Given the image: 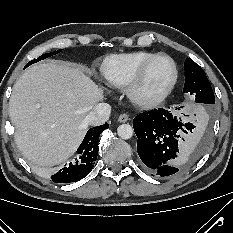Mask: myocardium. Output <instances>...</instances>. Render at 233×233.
<instances>
[{
	"mask_svg": "<svg viewBox=\"0 0 233 233\" xmlns=\"http://www.w3.org/2000/svg\"><path fill=\"white\" fill-rule=\"evenodd\" d=\"M162 58H166L171 62L173 69L172 77L164 86V88L160 90L158 93L150 96H145L141 93V86L146 76V73L157 60ZM177 79H178V68L173 58L167 54H157L152 58H150L149 60L145 61L139 67V69L136 71V73L130 80L129 84L127 85L126 93L130 101L139 107H143V108L155 107L160 103H162L168 97V95L173 90L177 82Z\"/></svg>",
	"mask_w": 233,
	"mask_h": 233,
	"instance_id": "myocardium-1",
	"label": "myocardium"
}]
</instances>
